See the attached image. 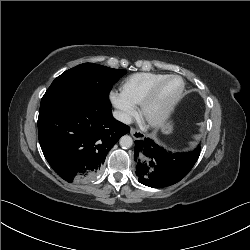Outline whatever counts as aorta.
<instances>
[{
    "instance_id": "obj_1",
    "label": "aorta",
    "mask_w": 250,
    "mask_h": 250,
    "mask_svg": "<svg viewBox=\"0 0 250 250\" xmlns=\"http://www.w3.org/2000/svg\"><path fill=\"white\" fill-rule=\"evenodd\" d=\"M133 140L129 135H124L120 138V146L124 149H128L132 146Z\"/></svg>"
}]
</instances>
